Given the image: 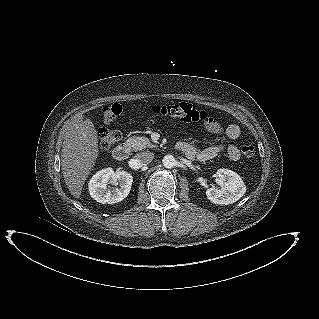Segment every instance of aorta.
I'll return each mask as SVG.
<instances>
[{"instance_id":"1","label":"aorta","mask_w":319,"mask_h":319,"mask_svg":"<svg viewBox=\"0 0 319 319\" xmlns=\"http://www.w3.org/2000/svg\"><path fill=\"white\" fill-rule=\"evenodd\" d=\"M163 166L166 168H172L176 164V160L173 155H166L162 160Z\"/></svg>"}]
</instances>
